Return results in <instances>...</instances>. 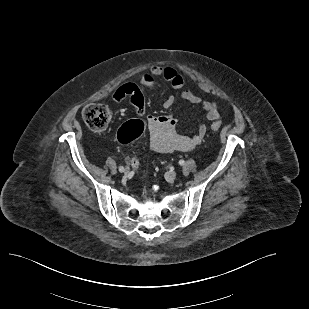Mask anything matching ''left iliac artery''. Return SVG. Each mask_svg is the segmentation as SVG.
Wrapping results in <instances>:
<instances>
[{"mask_svg": "<svg viewBox=\"0 0 309 309\" xmlns=\"http://www.w3.org/2000/svg\"><path fill=\"white\" fill-rule=\"evenodd\" d=\"M185 164V161L184 160H180L179 161V165L183 166Z\"/></svg>", "mask_w": 309, "mask_h": 309, "instance_id": "44dca946", "label": "left iliac artery"}]
</instances>
